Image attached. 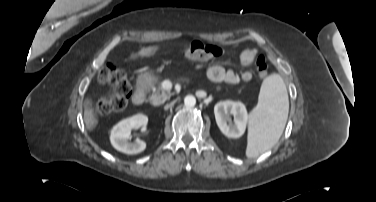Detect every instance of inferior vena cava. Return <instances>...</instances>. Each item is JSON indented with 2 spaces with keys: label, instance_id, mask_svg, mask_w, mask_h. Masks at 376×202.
<instances>
[{
  "label": "inferior vena cava",
  "instance_id": "1",
  "mask_svg": "<svg viewBox=\"0 0 376 202\" xmlns=\"http://www.w3.org/2000/svg\"><path fill=\"white\" fill-rule=\"evenodd\" d=\"M170 105H166L165 108H168Z\"/></svg>",
  "mask_w": 376,
  "mask_h": 202
}]
</instances>
